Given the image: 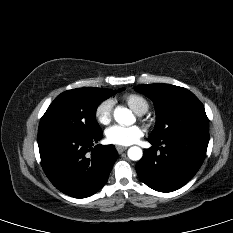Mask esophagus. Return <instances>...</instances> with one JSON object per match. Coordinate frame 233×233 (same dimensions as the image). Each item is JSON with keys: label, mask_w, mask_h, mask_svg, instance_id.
<instances>
[{"label": "esophagus", "mask_w": 233, "mask_h": 233, "mask_svg": "<svg viewBox=\"0 0 233 233\" xmlns=\"http://www.w3.org/2000/svg\"><path fill=\"white\" fill-rule=\"evenodd\" d=\"M116 149H117L118 153H122L127 149V147H125V146H116Z\"/></svg>", "instance_id": "esophagus-1"}]
</instances>
